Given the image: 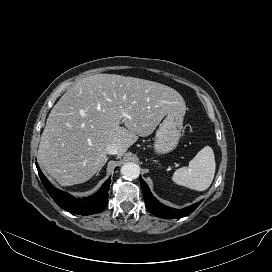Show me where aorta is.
<instances>
[{"label":"aorta","instance_id":"aorta-1","mask_svg":"<svg viewBox=\"0 0 272 272\" xmlns=\"http://www.w3.org/2000/svg\"><path fill=\"white\" fill-rule=\"evenodd\" d=\"M120 171L123 178L132 180V179L138 178L140 174V167L135 163L129 162V163H125L121 167Z\"/></svg>","mask_w":272,"mask_h":272}]
</instances>
